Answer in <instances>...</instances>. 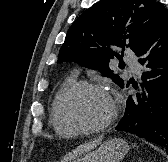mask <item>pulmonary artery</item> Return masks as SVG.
<instances>
[{
  "label": "pulmonary artery",
  "instance_id": "e3ab8cb5",
  "mask_svg": "<svg viewBox=\"0 0 168 162\" xmlns=\"http://www.w3.org/2000/svg\"><path fill=\"white\" fill-rule=\"evenodd\" d=\"M126 62H127V64L129 65V67L131 68L132 72H133L134 74H138L140 64H139V62L137 61V59L132 58V57H127V58H126Z\"/></svg>",
  "mask_w": 168,
  "mask_h": 162
}]
</instances>
